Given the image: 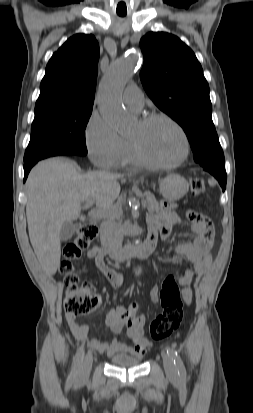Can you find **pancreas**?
Masks as SVG:
<instances>
[{
  "instance_id": "pancreas-1",
  "label": "pancreas",
  "mask_w": 253,
  "mask_h": 413,
  "mask_svg": "<svg viewBox=\"0 0 253 413\" xmlns=\"http://www.w3.org/2000/svg\"><path fill=\"white\" fill-rule=\"evenodd\" d=\"M138 192V195L141 196L142 198V203L145 204L147 207L148 211L151 213H155L159 211V205L156 199L153 197V195L150 192ZM122 215V210L121 209H115L114 211L110 212L108 215V218L111 221H115L119 219Z\"/></svg>"
}]
</instances>
